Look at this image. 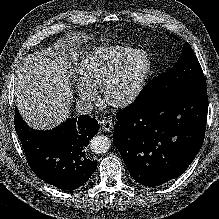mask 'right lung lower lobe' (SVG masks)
<instances>
[{"label":"right lung lower lobe","mask_w":219,"mask_h":219,"mask_svg":"<svg viewBox=\"0 0 219 219\" xmlns=\"http://www.w3.org/2000/svg\"><path fill=\"white\" fill-rule=\"evenodd\" d=\"M14 124L27 162L40 179L62 190H74L92 176L96 162L86 157L85 148L98 133L94 118L80 115L53 130L36 131L15 107Z\"/></svg>","instance_id":"obj_1"}]
</instances>
